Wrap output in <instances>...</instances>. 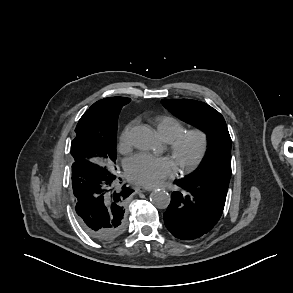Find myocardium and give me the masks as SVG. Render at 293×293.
<instances>
[{
    "mask_svg": "<svg viewBox=\"0 0 293 293\" xmlns=\"http://www.w3.org/2000/svg\"><path fill=\"white\" fill-rule=\"evenodd\" d=\"M191 139L197 141V150L189 161L177 166V170L181 173L191 172L201 163L209 147V136L202 129H191L185 130L175 139L168 142L170 154L178 156L184 145Z\"/></svg>",
    "mask_w": 293,
    "mask_h": 293,
    "instance_id": "myocardium-1",
    "label": "myocardium"
}]
</instances>
